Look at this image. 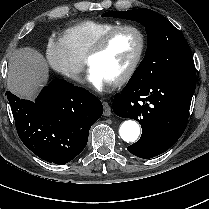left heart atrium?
<instances>
[{
  "mask_svg": "<svg viewBox=\"0 0 209 209\" xmlns=\"http://www.w3.org/2000/svg\"><path fill=\"white\" fill-rule=\"evenodd\" d=\"M85 80L95 89L101 90L109 81L95 67L90 66L87 70Z\"/></svg>",
  "mask_w": 209,
  "mask_h": 209,
  "instance_id": "39dd6f15",
  "label": "left heart atrium"
}]
</instances>
